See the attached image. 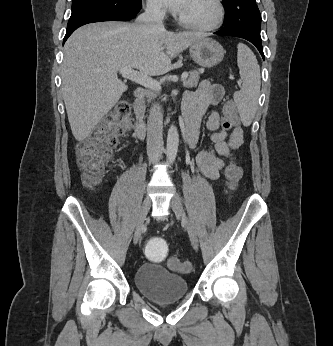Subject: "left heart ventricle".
<instances>
[{
	"instance_id": "1",
	"label": "left heart ventricle",
	"mask_w": 333,
	"mask_h": 346,
	"mask_svg": "<svg viewBox=\"0 0 333 346\" xmlns=\"http://www.w3.org/2000/svg\"><path fill=\"white\" fill-rule=\"evenodd\" d=\"M212 0H190L180 16L200 24L211 22L215 17Z\"/></svg>"
}]
</instances>
